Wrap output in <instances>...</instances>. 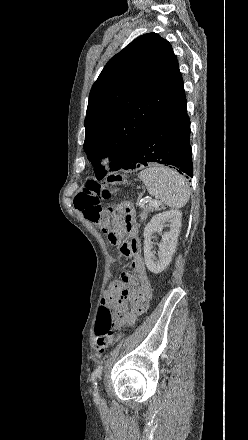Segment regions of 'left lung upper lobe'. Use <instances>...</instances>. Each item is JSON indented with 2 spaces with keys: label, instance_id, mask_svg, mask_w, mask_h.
I'll return each mask as SVG.
<instances>
[{
  "label": "left lung upper lobe",
  "instance_id": "5c2ea615",
  "mask_svg": "<svg viewBox=\"0 0 248 440\" xmlns=\"http://www.w3.org/2000/svg\"><path fill=\"white\" fill-rule=\"evenodd\" d=\"M184 95L177 58L158 34L141 35L113 56L91 88L84 121L83 147L97 179L106 175L97 158L109 156L117 170L134 142Z\"/></svg>",
  "mask_w": 248,
  "mask_h": 440
}]
</instances>
